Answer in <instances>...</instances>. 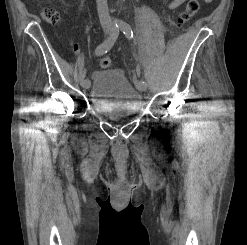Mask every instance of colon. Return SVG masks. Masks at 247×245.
I'll list each match as a JSON object with an SVG mask.
<instances>
[{"instance_id":"colon-1","label":"colon","mask_w":247,"mask_h":245,"mask_svg":"<svg viewBox=\"0 0 247 245\" xmlns=\"http://www.w3.org/2000/svg\"><path fill=\"white\" fill-rule=\"evenodd\" d=\"M200 5V0H187L175 17L176 25L182 26L187 23L199 11ZM42 16L49 23L59 20L58 12L52 8L43 9ZM99 64L101 68L106 69L112 65V61L109 57H103Z\"/></svg>"}]
</instances>
